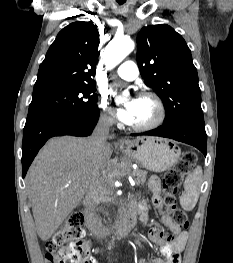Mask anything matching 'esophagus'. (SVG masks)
<instances>
[{
	"label": "esophagus",
	"mask_w": 233,
	"mask_h": 263,
	"mask_svg": "<svg viewBox=\"0 0 233 263\" xmlns=\"http://www.w3.org/2000/svg\"><path fill=\"white\" fill-rule=\"evenodd\" d=\"M126 143H127V141L124 140V139H120V140L118 141V144H119L120 146H123V145L126 144Z\"/></svg>",
	"instance_id": "1"
}]
</instances>
